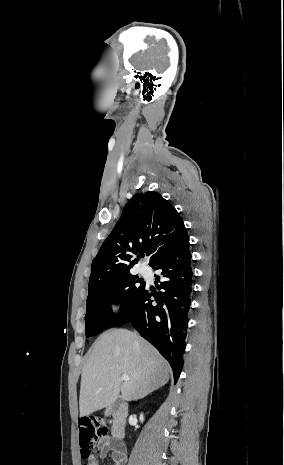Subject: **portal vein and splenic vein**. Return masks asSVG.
I'll return each mask as SVG.
<instances>
[{"label":"portal vein and splenic vein","mask_w":284,"mask_h":465,"mask_svg":"<svg viewBox=\"0 0 284 465\" xmlns=\"http://www.w3.org/2000/svg\"><path fill=\"white\" fill-rule=\"evenodd\" d=\"M121 379L122 381H125V383H128V381H130L128 375H122Z\"/></svg>","instance_id":"obj_1"}]
</instances>
